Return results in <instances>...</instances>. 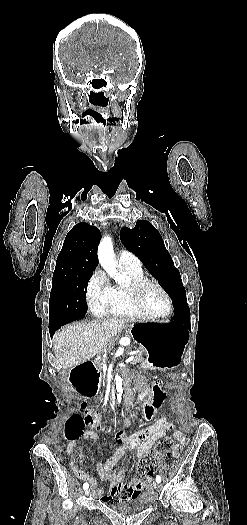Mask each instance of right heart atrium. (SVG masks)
<instances>
[{
	"mask_svg": "<svg viewBox=\"0 0 247 525\" xmlns=\"http://www.w3.org/2000/svg\"><path fill=\"white\" fill-rule=\"evenodd\" d=\"M114 295V290L105 273L100 268H96L85 287L89 311L96 316H102L113 303Z\"/></svg>",
	"mask_w": 247,
	"mask_h": 525,
	"instance_id": "right-heart-atrium-1",
	"label": "right heart atrium"
}]
</instances>
